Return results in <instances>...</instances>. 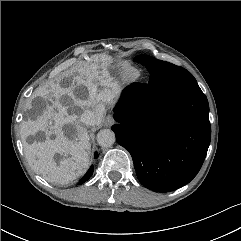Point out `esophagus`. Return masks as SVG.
Wrapping results in <instances>:
<instances>
[{"instance_id": "obj_1", "label": "esophagus", "mask_w": 241, "mask_h": 241, "mask_svg": "<svg viewBox=\"0 0 241 241\" xmlns=\"http://www.w3.org/2000/svg\"><path fill=\"white\" fill-rule=\"evenodd\" d=\"M114 122H115V120H114V118L111 117V116H107V117L105 118V121H104V123H105L106 126H111V125L114 124Z\"/></svg>"}]
</instances>
